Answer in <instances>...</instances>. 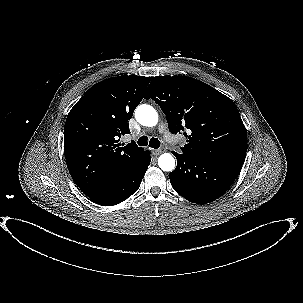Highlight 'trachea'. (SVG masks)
Masks as SVG:
<instances>
[{
    "label": "trachea",
    "mask_w": 303,
    "mask_h": 303,
    "mask_svg": "<svg viewBox=\"0 0 303 303\" xmlns=\"http://www.w3.org/2000/svg\"><path fill=\"white\" fill-rule=\"evenodd\" d=\"M138 145L139 146H147L149 145L150 147L157 149L160 147V141L157 138L152 137L149 141H148V137L147 136H142L138 139Z\"/></svg>",
    "instance_id": "3493384b"
}]
</instances>
